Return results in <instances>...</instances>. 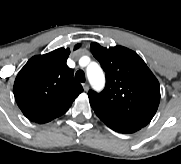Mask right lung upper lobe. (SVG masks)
I'll return each mask as SVG.
<instances>
[{"mask_svg": "<svg viewBox=\"0 0 181 164\" xmlns=\"http://www.w3.org/2000/svg\"><path fill=\"white\" fill-rule=\"evenodd\" d=\"M80 44L75 45L74 50ZM70 49L32 57L18 73L13 92L17 105L32 122L47 123L68 111L83 91L67 64Z\"/></svg>", "mask_w": 181, "mask_h": 164, "instance_id": "right-lung-upper-lobe-1", "label": "right lung upper lobe"}]
</instances>
